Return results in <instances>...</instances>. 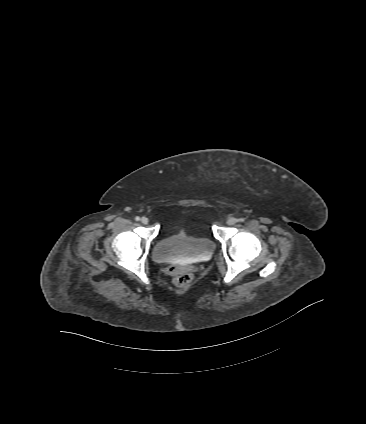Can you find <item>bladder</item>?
Wrapping results in <instances>:
<instances>
[{"instance_id":"obj_1","label":"bladder","mask_w":366,"mask_h":424,"mask_svg":"<svg viewBox=\"0 0 366 424\" xmlns=\"http://www.w3.org/2000/svg\"><path fill=\"white\" fill-rule=\"evenodd\" d=\"M214 251L215 244L208 237L181 231L160 238L153 246L152 256L157 262L199 261L211 257Z\"/></svg>"}]
</instances>
